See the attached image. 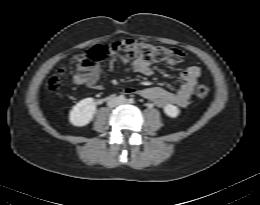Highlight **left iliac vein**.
I'll use <instances>...</instances> for the list:
<instances>
[{"mask_svg": "<svg viewBox=\"0 0 260 205\" xmlns=\"http://www.w3.org/2000/svg\"><path fill=\"white\" fill-rule=\"evenodd\" d=\"M126 103H128V100H122V101H119V104H126Z\"/></svg>", "mask_w": 260, "mask_h": 205, "instance_id": "obj_1", "label": "left iliac vein"}]
</instances>
